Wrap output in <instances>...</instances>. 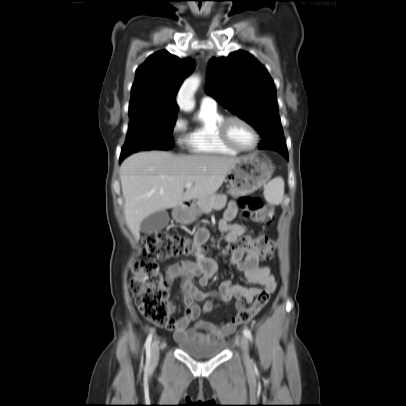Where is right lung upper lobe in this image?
Masks as SVG:
<instances>
[{
    "label": "right lung upper lobe",
    "mask_w": 406,
    "mask_h": 406,
    "mask_svg": "<svg viewBox=\"0 0 406 406\" xmlns=\"http://www.w3.org/2000/svg\"><path fill=\"white\" fill-rule=\"evenodd\" d=\"M194 68L195 62L191 58L179 59L166 50L149 56L136 70L129 113L177 115L176 94Z\"/></svg>",
    "instance_id": "right-lung-upper-lobe-1"
}]
</instances>
